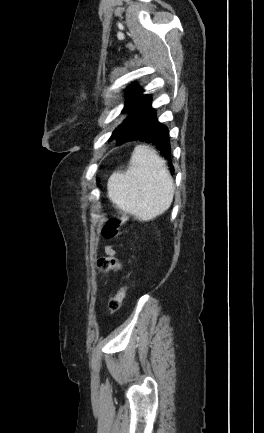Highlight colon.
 Segmentation results:
<instances>
[{
	"instance_id": "5ec220e1",
	"label": "colon",
	"mask_w": 264,
	"mask_h": 433,
	"mask_svg": "<svg viewBox=\"0 0 264 433\" xmlns=\"http://www.w3.org/2000/svg\"><path fill=\"white\" fill-rule=\"evenodd\" d=\"M128 215L120 213L106 219L102 226V235L107 239H114L122 235V226L127 222ZM97 269L101 272L110 270H121L122 265L117 257L113 255L101 257L96 262ZM127 286L122 285L116 295L109 300L108 310L110 314L116 313L126 296Z\"/></svg>"
}]
</instances>
